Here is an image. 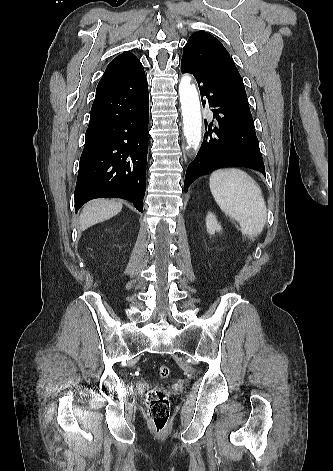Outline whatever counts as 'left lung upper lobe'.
<instances>
[{
    "mask_svg": "<svg viewBox=\"0 0 333 471\" xmlns=\"http://www.w3.org/2000/svg\"><path fill=\"white\" fill-rule=\"evenodd\" d=\"M182 58L194 62L213 76L251 115L243 79L218 39L204 31L193 33L183 48Z\"/></svg>",
    "mask_w": 333,
    "mask_h": 471,
    "instance_id": "5c2ea615",
    "label": "left lung upper lobe"
}]
</instances>
